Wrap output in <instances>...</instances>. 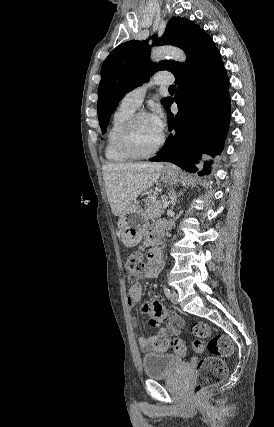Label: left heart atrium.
I'll return each instance as SVG.
<instances>
[{
  "label": "left heart atrium",
  "mask_w": 274,
  "mask_h": 427,
  "mask_svg": "<svg viewBox=\"0 0 274 427\" xmlns=\"http://www.w3.org/2000/svg\"><path fill=\"white\" fill-rule=\"evenodd\" d=\"M148 116L155 129L160 133H163L165 129V118L162 110L160 108H155Z\"/></svg>",
  "instance_id": "left-heart-atrium-1"
}]
</instances>
